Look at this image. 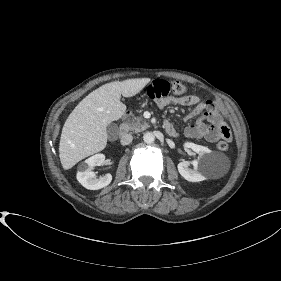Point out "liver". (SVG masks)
Listing matches in <instances>:
<instances>
[{
    "label": "liver",
    "mask_w": 281,
    "mask_h": 281,
    "mask_svg": "<svg viewBox=\"0 0 281 281\" xmlns=\"http://www.w3.org/2000/svg\"><path fill=\"white\" fill-rule=\"evenodd\" d=\"M149 82V78H136L104 84L74 108L62 128L59 144V157L65 170L106 147L107 126L126 111L121 95L135 96Z\"/></svg>",
    "instance_id": "6515ba94"
}]
</instances>
